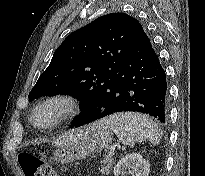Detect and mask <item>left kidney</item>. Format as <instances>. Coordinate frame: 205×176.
Instances as JSON below:
<instances>
[{
	"label": "left kidney",
	"instance_id": "5707ae66",
	"mask_svg": "<svg viewBox=\"0 0 205 176\" xmlns=\"http://www.w3.org/2000/svg\"><path fill=\"white\" fill-rule=\"evenodd\" d=\"M131 169L132 176H149L150 164L138 153H130L122 157L114 168V175L120 176Z\"/></svg>",
	"mask_w": 205,
	"mask_h": 176
}]
</instances>
